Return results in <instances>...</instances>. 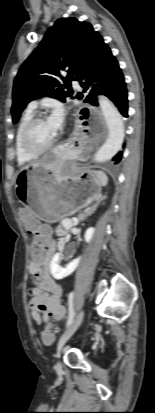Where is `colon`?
Instances as JSON below:
<instances>
[{"mask_svg":"<svg viewBox=\"0 0 155 413\" xmlns=\"http://www.w3.org/2000/svg\"><path fill=\"white\" fill-rule=\"evenodd\" d=\"M35 238L31 247L32 258L42 261L46 256L47 246L45 240L39 235L38 231H31ZM42 341L45 344H51L54 340V329L48 324L41 332Z\"/></svg>","mask_w":155,"mask_h":413,"instance_id":"colon-1","label":"colon"}]
</instances>
